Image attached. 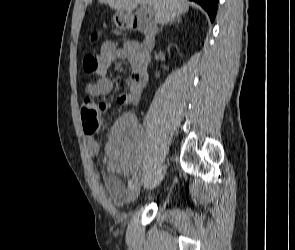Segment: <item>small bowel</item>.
<instances>
[{"mask_svg": "<svg viewBox=\"0 0 295 250\" xmlns=\"http://www.w3.org/2000/svg\"><path fill=\"white\" fill-rule=\"evenodd\" d=\"M142 56V50L137 42H128L123 46H117L112 41L103 42L98 57L99 68L97 80L86 85L84 92L88 97H98L110 93L113 82L107 76L110 65L119 60H125L133 67V73L128 82V91L117 96L120 105H131L138 102L141 93L147 83L137 74V66ZM101 112L110 110L108 103L100 104ZM86 148L90 155H97L100 150L97 140L87 135ZM143 140L141 129L136 118L131 114L121 116L113 125L107 144V152L110 157L109 171L106 176V186L117 200H122L126 194V188L122 178L116 173L117 168L130 162H137L140 158Z\"/></svg>", "mask_w": 295, "mask_h": 250, "instance_id": "small-bowel-1", "label": "small bowel"}]
</instances>
